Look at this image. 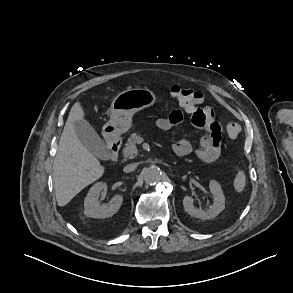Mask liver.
Wrapping results in <instances>:
<instances>
[{"label": "liver", "mask_w": 293, "mask_h": 293, "mask_svg": "<svg viewBox=\"0 0 293 293\" xmlns=\"http://www.w3.org/2000/svg\"><path fill=\"white\" fill-rule=\"evenodd\" d=\"M84 115L80 102L75 103L69 113L53 161V181L59 206L68 204L105 172L104 166L83 146L76 135L74 122L83 120Z\"/></svg>", "instance_id": "obj_1"}]
</instances>
